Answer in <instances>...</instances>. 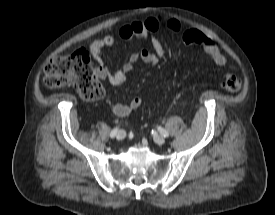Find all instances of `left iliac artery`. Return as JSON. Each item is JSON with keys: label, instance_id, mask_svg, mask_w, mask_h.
<instances>
[{"label": "left iliac artery", "instance_id": "obj_1", "mask_svg": "<svg viewBox=\"0 0 275 215\" xmlns=\"http://www.w3.org/2000/svg\"><path fill=\"white\" fill-rule=\"evenodd\" d=\"M158 130H159V132L161 133L162 136H164V137L169 136V133L165 129H163L162 127H158Z\"/></svg>", "mask_w": 275, "mask_h": 215}]
</instances>
